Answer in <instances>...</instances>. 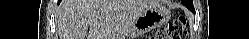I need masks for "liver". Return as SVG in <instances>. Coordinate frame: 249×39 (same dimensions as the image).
Here are the masks:
<instances>
[{
  "instance_id": "liver-1",
  "label": "liver",
  "mask_w": 249,
  "mask_h": 39,
  "mask_svg": "<svg viewBox=\"0 0 249 39\" xmlns=\"http://www.w3.org/2000/svg\"><path fill=\"white\" fill-rule=\"evenodd\" d=\"M157 6V0H71L61 7L60 39H125L134 20Z\"/></svg>"
}]
</instances>
